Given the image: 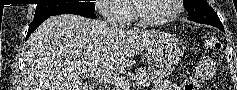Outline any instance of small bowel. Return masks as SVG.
<instances>
[{
  "mask_svg": "<svg viewBox=\"0 0 237 90\" xmlns=\"http://www.w3.org/2000/svg\"><path fill=\"white\" fill-rule=\"evenodd\" d=\"M214 65L210 62L200 64L195 74L182 82L162 81L154 90H201L202 83L213 76Z\"/></svg>",
  "mask_w": 237,
  "mask_h": 90,
  "instance_id": "obj_1",
  "label": "small bowel"
}]
</instances>
